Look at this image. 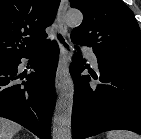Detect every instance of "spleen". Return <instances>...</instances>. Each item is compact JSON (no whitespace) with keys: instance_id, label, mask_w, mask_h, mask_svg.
Here are the masks:
<instances>
[{"instance_id":"1","label":"spleen","mask_w":141,"mask_h":139,"mask_svg":"<svg viewBox=\"0 0 141 139\" xmlns=\"http://www.w3.org/2000/svg\"><path fill=\"white\" fill-rule=\"evenodd\" d=\"M107 139H141V136L124 130H115L107 133Z\"/></svg>"}]
</instances>
